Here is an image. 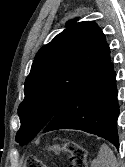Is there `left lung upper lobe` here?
I'll list each match as a JSON object with an SVG mask.
<instances>
[{
	"instance_id": "5c2ea615",
	"label": "left lung upper lobe",
	"mask_w": 125,
	"mask_h": 167,
	"mask_svg": "<svg viewBox=\"0 0 125 167\" xmlns=\"http://www.w3.org/2000/svg\"><path fill=\"white\" fill-rule=\"evenodd\" d=\"M106 42L94 21H70L66 29L36 54L18 108L21 127L16 142H30L91 72Z\"/></svg>"
}]
</instances>
